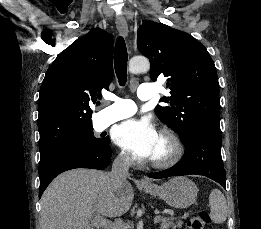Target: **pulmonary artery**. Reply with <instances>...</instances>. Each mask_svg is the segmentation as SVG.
Here are the masks:
<instances>
[{"label": "pulmonary artery", "instance_id": "e3ab8cb5", "mask_svg": "<svg viewBox=\"0 0 261 229\" xmlns=\"http://www.w3.org/2000/svg\"><path fill=\"white\" fill-rule=\"evenodd\" d=\"M153 89L156 84L141 85L137 89V96L141 100H149L153 96ZM111 100L114 103L102 110L106 123H114L133 115L136 111L134 103L128 99H121L113 95Z\"/></svg>", "mask_w": 261, "mask_h": 229}]
</instances>
